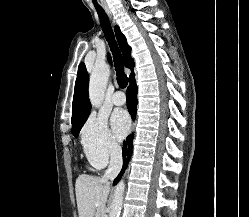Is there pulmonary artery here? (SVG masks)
<instances>
[{"mask_svg": "<svg viewBox=\"0 0 249 217\" xmlns=\"http://www.w3.org/2000/svg\"><path fill=\"white\" fill-rule=\"evenodd\" d=\"M126 101L125 95L121 91H117L112 96V102L114 105L120 106L123 105Z\"/></svg>", "mask_w": 249, "mask_h": 217, "instance_id": "pulmonary-artery-1", "label": "pulmonary artery"}]
</instances>
